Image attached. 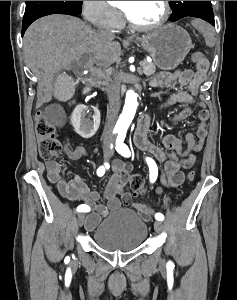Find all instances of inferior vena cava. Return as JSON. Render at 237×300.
Listing matches in <instances>:
<instances>
[{
    "instance_id": "obj_1",
    "label": "inferior vena cava",
    "mask_w": 237,
    "mask_h": 300,
    "mask_svg": "<svg viewBox=\"0 0 237 300\" xmlns=\"http://www.w3.org/2000/svg\"><path fill=\"white\" fill-rule=\"evenodd\" d=\"M98 35L99 37H102V39H114L115 37L114 33H111V31H105V29H98ZM106 85L109 105L107 111V127L105 135L110 137L120 109V93L119 87H117L116 83L111 81V79H108Z\"/></svg>"
}]
</instances>
